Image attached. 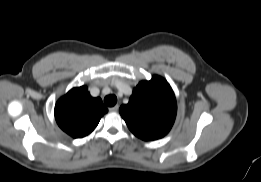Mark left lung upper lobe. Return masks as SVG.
Masks as SVG:
<instances>
[{
    "mask_svg": "<svg viewBox=\"0 0 261 182\" xmlns=\"http://www.w3.org/2000/svg\"><path fill=\"white\" fill-rule=\"evenodd\" d=\"M119 112L135 136L145 141L156 140L164 137L174 123L175 95L168 82L156 75L150 81H141Z\"/></svg>",
    "mask_w": 261,
    "mask_h": 182,
    "instance_id": "1",
    "label": "left lung upper lobe"
}]
</instances>
